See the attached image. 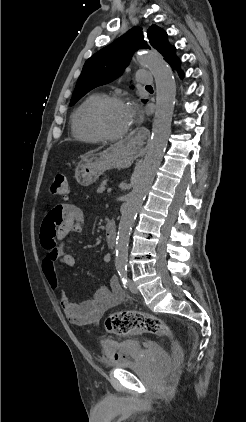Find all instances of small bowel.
<instances>
[{
  "instance_id": "1",
  "label": "small bowel",
  "mask_w": 246,
  "mask_h": 422,
  "mask_svg": "<svg viewBox=\"0 0 246 422\" xmlns=\"http://www.w3.org/2000/svg\"><path fill=\"white\" fill-rule=\"evenodd\" d=\"M84 227V214L73 204L52 208L42 222L40 239L45 250L42 268L53 290H60L58 264L68 268L75 265L74 257L59 243L71 234L80 233ZM110 260V255L106 254L104 261L108 263ZM123 300L124 292L115 276L110 278L109 287H100L92 298L80 303L73 302L64 292H60V304L65 316L70 322L78 325H98L103 315Z\"/></svg>"
}]
</instances>
